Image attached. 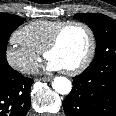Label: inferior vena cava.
I'll return each mask as SVG.
<instances>
[{"mask_svg": "<svg viewBox=\"0 0 116 116\" xmlns=\"http://www.w3.org/2000/svg\"><path fill=\"white\" fill-rule=\"evenodd\" d=\"M29 71H30L31 73H37V72H38V68H37L36 66H31V67L29 68Z\"/></svg>", "mask_w": 116, "mask_h": 116, "instance_id": "obj_1", "label": "inferior vena cava"}]
</instances>
